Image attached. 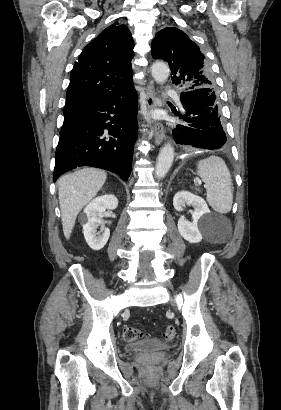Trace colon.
I'll use <instances>...</instances> for the list:
<instances>
[{
  "mask_svg": "<svg viewBox=\"0 0 281 410\" xmlns=\"http://www.w3.org/2000/svg\"><path fill=\"white\" fill-rule=\"evenodd\" d=\"M175 335V328L172 325H168L164 331L163 337L166 340H171ZM144 336V333L139 330L138 328H135L133 326H125L123 328V338L127 342H135L138 339L142 338Z\"/></svg>",
  "mask_w": 281,
  "mask_h": 410,
  "instance_id": "5ec220e1",
  "label": "colon"
}]
</instances>
